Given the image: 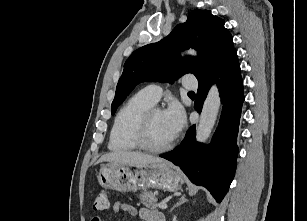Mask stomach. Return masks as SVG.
<instances>
[{
	"mask_svg": "<svg viewBox=\"0 0 307 221\" xmlns=\"http://www.w3.org/2000/svg\"><path fill=\"white\" fill-rule=\"evenodd\" d=\"M99 184L121 192L162 188L177 191L184 182L182 174L169 162L129 165L110 162L97 175Z\"/></svg>",
	"mask_w": 307,
	"mask_h": 221,
	"instance_id": "1",
	"label": "stomach"
}]
</instances>
